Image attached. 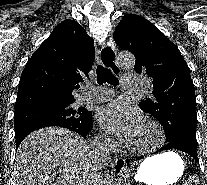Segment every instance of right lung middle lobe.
Instances as JSON below:
<instances>
[{
	"label": "right lung middle lobe",
	"instance_id": "right-lung-middle-lobe-1",
	"mask_svg": "<svg viewBox=\"0 0 207 185\" xmlns=\"http://www.w3.org/2000/svg\"><path fill=\"white\" fill-rule=\"evenodd\" d=\"M92 112L72 105L42 104L14 112L15 136L46 126L76 127L91 122Z\"/></svg>",
	"mask_w": 207,
	"mask_h": 185
}]
</instances>
